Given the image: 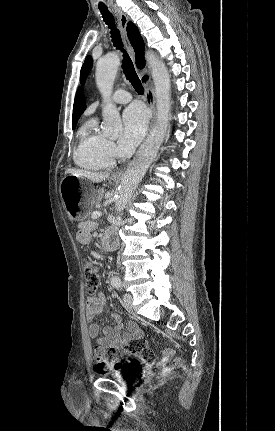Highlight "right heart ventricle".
Segmentation results:
<instances>
[{"instance_id": "1", "label": "right heart ventricle", "mask_w": 275, "mask_h": 431, "mask_svg": "<svg viewBox=\"0 0 275 431\" xmlns=\"http://www.w3.org/2000/svg\"><path fill=\"white\" fill-rule=\"evenodd\" d=\"M74 160L82 168L99 171L111 168L114 157L107 150L106 137L98 128L97 119L88 118L79 128Z\"/></svg>"}]
</instances>
